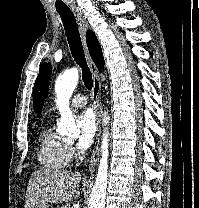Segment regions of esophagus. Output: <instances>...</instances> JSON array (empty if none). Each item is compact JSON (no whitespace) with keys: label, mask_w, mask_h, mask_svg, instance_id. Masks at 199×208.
<instances>
[{"label":"esophagus","mask_w":199,"mask_h":208,"mask_svg":"<svg viewBox=\"0 0 199 208\" xmlns=\"http://www.w3.org/2000/svg\"><path fill=\"white\" fill-rule=\"evenodd\" d=\"M74 15L76 17L78 26H79V30H80V34L82 37V41L84 44V49H85V55H86V60L87 63L89 65V68L92 72L93 75V88H92V101H93V108L96 114V125H97V133H96V141H95V146L94 149L92 151L90 160H89V169H88V173L92 174V172L94 171L95 165L97 163L98 157H99V153H100V142H101V106H100V95H101V83H100V79L98 76V69L95 66V64L93 63L89 52L87 50L86 47V41H85V35L87 30L89 29V24L83 14V12L79 9V8H72Z\"/></svg>","instance_id":"esophagus-1"}]
</instances>
